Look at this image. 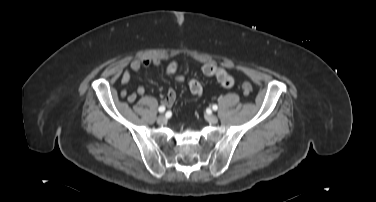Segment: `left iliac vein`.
Segmentation results:
<instances>
[{"label":"left iliac vein","instance_id":"4c4485c4","mask_svg":"<svg viewBox=\"0 0 376 202\" xmlns=\"http://www.w3.org/2000/svg\"><path fill=\"white\" fill-rule=\"evenodd\" d=\"M206 120L210 123V124H216L218 122V118L217 116L213 115V114H208L206 115Z\"/></svg>","mask_w":376,"mask_h":202}]
</instances>
